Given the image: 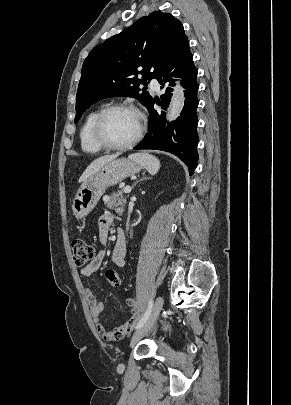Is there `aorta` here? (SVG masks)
Returning <instances> with one entry per match:
<instances>
[{
	"mask_svg": "<svg viewBox=\"0 0 291 405\" xmlns=\"http://www.w3.org/2000/svg\"><path fill=\"white\" fill-rule=\"evenodd\" d=\"M184 101L185 98L183 88L177 83V85L174 87V92L166 116L167 120L173 121L181 114Z\"/></svg>",
	"mask_w": 291,
	"mask_h": 405,
	"instance_id": "762f6f07",
	"label": "aorta"
}]
</instances>
